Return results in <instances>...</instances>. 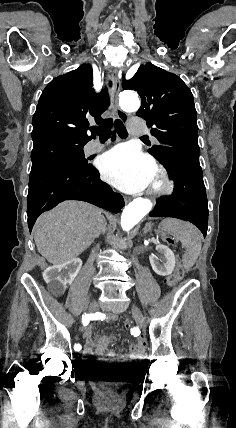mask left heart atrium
<instances>
[{
    "mask_svg": "<svg viewBox=\"0 0 236 428\" xmlns=\"http://www.w3.org/2000/svg\"><path fill=\"white\" fill-rule=\"evenodd\" d=\"M100 168L107 182L127 193H141L154 178V165L149 158L127 145L107 152Z\"/></svg>",
    "mask_w": 236,
    "mask_h": 428,
    "instance_id": "1",
    "label": "left heart atrium"
}]
</instances>
